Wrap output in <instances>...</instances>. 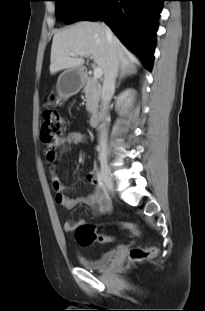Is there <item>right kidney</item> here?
<instances>
[{
	"label": "right kidney",
	"instance_id": "ca27d5eb",
	"mask_svg": "<svg viewBox=\"0 0 205 311\" xmlns=\"http://www.w3.org/2000/svg\"><path fill=\"white\" fill-rule=\"evenodd\" d=\"M134 94H135V91L133 89H127L124 92H122L117 99L118 109H119V107H121L123 105L129 104L132 100V95H134Z\"/></svg>",
	"mask_w": 205,
	"mask_h": 311
}]
</instances>
